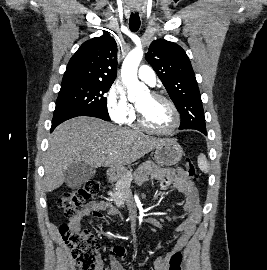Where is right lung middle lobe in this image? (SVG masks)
<instances>
[{"mask_svg": "<svg viewBox=\"0 0 267 270\" xmlns=\"http://www.w3.org/2000/svg\"><path fill=\"white\" fill-rule=\"evenodd\" d=\"M113 82L63 80L55 111L73 113L100 112L108 114L104 94Z\"/></svg>", "mask_w": 267, "mask_h": 270, "instance_id": "dd1d6c3e", "label": "right lung middle lobe"}]
</instances>
